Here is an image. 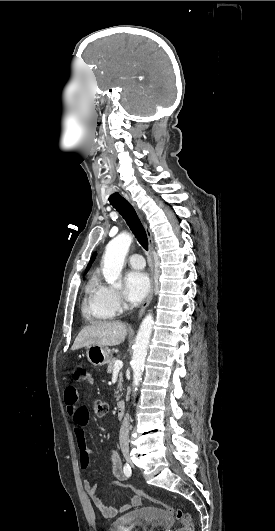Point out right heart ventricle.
<instances>
[{
	"label": "right heart ventricle",
	"mask_w": 275,
	"mask_h": 531,
	"mask_svg": "<svg viewBox=\"0 0 275 531\" xmlns=\"http://www.w3.org/2000/svg\"><path fill=\"white\" fill-rule=\"evenodd\" d=\"M99 283L95 276L89 278L84 287L83 313L92 321H105L110 315L102 308L99 301Z\"/></svg>",
	"instance_id": "e07e8e85"
}]
</instances>
